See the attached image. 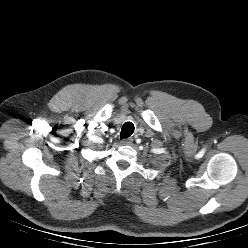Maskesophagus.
Here are the masks:
<instances>
[{
    "instance_id": "34e87169",
    "label": "esophagus",
    "mask_w": 248,
    "mask_h": 248,
    "mask_svg": "<svg viewBox=\"0 0 248 248\" xmlns=\"http://www.w3.org/2000/svg\"><path fill=\"white\" fill-rule=\"evenodd\" d=\"M133 143V139L129 138V139H124L122 141L123 145H131Z\"/></svg>"
}]
</instances>
